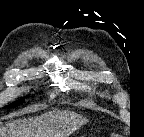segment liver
I'll list each match as a JSON object with an SVG mask.
<instances>
[{"mask_svg": "<svg viewBox=\"0 0 144 137\" xmlns=\"http://www.w3.org/2000/svg\"><path fill=\"white\" fill-rule=\"evenodd\" d=\"M88 120L68 110L55 109L36 117L10 121L5 128L7 137H69Z\"/></svg>", "mask_w": 144, "mask_h": 137, "instance_id": "liver-1", "label": "liver"}]
</instances>
